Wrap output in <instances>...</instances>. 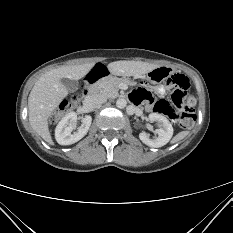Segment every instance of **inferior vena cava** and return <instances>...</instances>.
<instances>
[{"mask_svg": "<svg viewBox=\"0 0 233 233\" xmlns=\"http://www.w3.org/2000/svg\"><path fill=\"white\" fill-rule=\"evenodd\" d=\"M106 97L102 94L88 95L84 100V106L94 109L106 102Z\"/></svg>", "mask_w": 233, "mask_h": 233, "instance_id": "602c4592", "label": "inferior vena cava"}]
</instances>
